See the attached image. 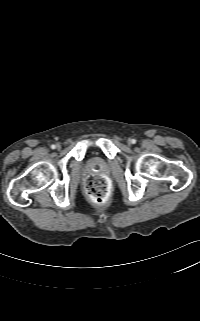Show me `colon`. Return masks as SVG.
Wrapping results in <instances>:
<instances>
[{
	"instance_id": "1",
	"label": "colon",
	"mask_w": 200,
	"mask_h": 321,
	"mask_svg": "<svg viewBox=\"0 0 200 321\" xmlns=\"http://www.w3.org/2000/svg\"><path fill=\"white\" fill-rule=\"evenodd\" d=\"M84 189L91 201L103 204L109 197V183L103 175H93L86 179Z\"/></svg>"
}]
</instances>
